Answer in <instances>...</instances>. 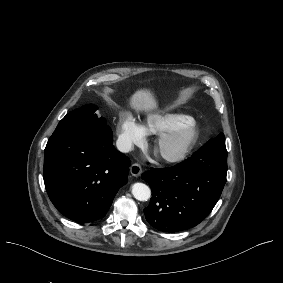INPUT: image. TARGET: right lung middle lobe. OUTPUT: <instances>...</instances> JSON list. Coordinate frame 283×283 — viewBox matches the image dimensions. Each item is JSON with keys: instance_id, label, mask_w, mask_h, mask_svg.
<instances>
[{"instance_id": "1", "label": "right lung middle lobe", "mask_w": 283, "mask_h": 283, "mask_svg": "<svg viewBox=\"0 0 283 283\" xmlns=\"http://www.w3.org/2000/svg\"><path fill=\"white\" fill-rule=\"evenodd\" d=\"M97 106L93 104H87L81 108L75 109L68 113L58 124L63 125H78L95 129H102L108 127L103 117H98L95 114ZM57 126V127H58Z\"/></svg>"}]
</instances>
